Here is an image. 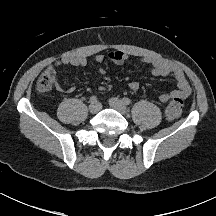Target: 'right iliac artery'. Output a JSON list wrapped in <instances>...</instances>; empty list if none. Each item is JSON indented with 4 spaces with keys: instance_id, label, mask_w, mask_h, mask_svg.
Wrapping results in <instances>:
<instances>
[{
    "instance_id": "obj_1",
    "label": "right iliac artery",
    "mask_w": 216,
    "mask_h": 216,
    "mask_svg": "<svg viewBox=\"0 0 216 216\" xmlns=\"http://www.w3.org/2000/svg\"><path fill=\"white\" fill-rule=\"evenodd\" d=\"M90 102H91V103H96V102H97L96 96H91V97H90Z\"/></svg>"
}]
</instances>
